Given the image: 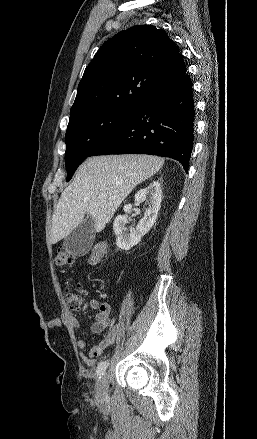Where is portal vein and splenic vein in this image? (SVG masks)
<instances>
[{
    "label": "portal vein and splenic vein",
    "mask_w": 257,
    "mask_h": 439,
    "mask_svg": "<svg viewBox=\"0 0 257 439\" xmlns=\"http://www.w3.org/2000/svg\"><path fill=\"white\" fill-rule=\"evenodd\" d=\"M99 198L104 199L107 198V194H100ZM114 197H110L109 199H113Z\"/></svg>",
    "instance_id": "18ae733b"
}]
</instances>
